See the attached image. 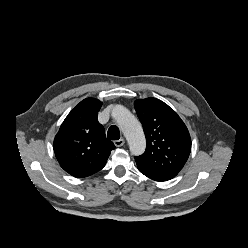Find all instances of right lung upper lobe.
Here are the masks:
<instances>
[{
    "instance_id": "obj_1",
    "label": "right lung upper lobe",
    "mask_w": 248,
    "mask_h": 248,
    "mask_svg": "<svg viewBox=\"0 0 248 248\" xmlns=\"http://www.w3.org/2000/svg\"><path fill=\"white\" fill-rule=\"evenodd\" d=\"M101 106L98 99H84L68 114L55 136V156L74 177H87L101 170L115 148L97 120Z\"/></svg>"
}]
</instances>
